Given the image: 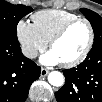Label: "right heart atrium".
<instances>
[{"label":"right heart atrium","instance_id":"1","mask_svg":"<svg viewBox=\"0 0 102 102\" xmlns=\"http://www.w3.org/2000/svg\"><path fill=\"white\" fill-rule=\"evenodd\" d=\"M16 32L23 53L28 58H34L39 52L47 48L48 42L39 34L32 23L20 20Z\"/></svg>","mask_w":102,"mask_h":102}]
</instances>
